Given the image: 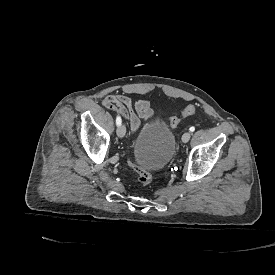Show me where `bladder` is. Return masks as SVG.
Returning a JSON list of instances; mask_svg holds the SVG:
<instances>
[{"label": "bladder", "instance_id": "obj_1", "mask_svg": "<svg viewBox=\"0 0 275 275\" xmlns=\"http://www.w3.org/2000/svg\"><path fill=\"white\" fill-rule=\"evenodd\" d=\"M174 134L166 121L155 119L136 135L132 154L134 162L150 171L161 170L174 153Z\"/></svg>", "mask_w": 275, "mask_h": 275}]
</instances>
